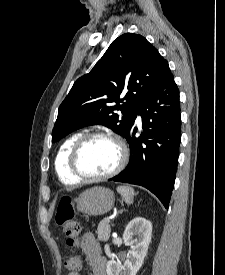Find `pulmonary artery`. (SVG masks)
Here are the masks:
<instances>
[{"instance_id": "obj_1", "label": "pulmonary artery", "mask_w": 225, "mask_h": 275, "mask_svg": "<svg viewBox=\"0 0 225 275\" xmlns=\"http://www.w3.org/2000/svg\"><path fill=\"white\" fill-rule=\"evenodd\" d=\"M141 121V116H138V122H140Z\"/></svg>"}]
</instances>
